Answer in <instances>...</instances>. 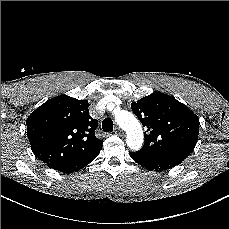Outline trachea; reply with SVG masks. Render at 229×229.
<instances>
[{
    "instance_id": "obj_1",
    "label": "trachea",
    "mask_w": 229,
    "mask_h": 229,
    "mask_svg": "<svg viewBox=\"0 0 229 229\" xmlns=\"http://www.w3.org/2000/svg\"><path fill=\"white\" fill-rule=\"evenodd\" d=\"M102 129L104 132H112L113 131V121L110 118H105L102 121Z\"/></svg>"
}]
</instances>
